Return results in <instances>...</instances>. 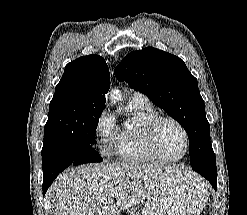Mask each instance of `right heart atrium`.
Masks as SVG:
<instances>
[{"label":"right heart atrium","instance_id":"right-heart-atrium-1","mask_svg":"<svg viewBox=\"0 0 247 215\" xmlns=\"http://www.w3.org/2000/svg\"><path fill=\"white\" fill-rule=\"evenodd\" d=\"M118 128L115 117L108 109H103L95 123V133L98 137L99 147L103 154L111 151V145L115 142Z\"/></svg>","mask_w":247,"mask_h":215}]
</instances>
